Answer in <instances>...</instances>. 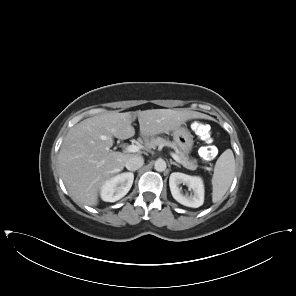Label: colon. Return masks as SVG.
<instances>
[{
  "label": "colon",
  "instance_id": "1",
  "mask_svg": "<svg viewBox=\"0 0 296 296\" xmlns=\"http://www.w3.org/2000/svg\"><path fill=\"white\" fill-rule=\"evenodd\" d=\"M192 130L207 144L200 149L201 158L205 161L213 159L215 148L210 144V131L207 125L202 121H196L192 124Z\"/></svg>",
  "mask_w": 296,
  "mask_h": 296
}]
</instances>
